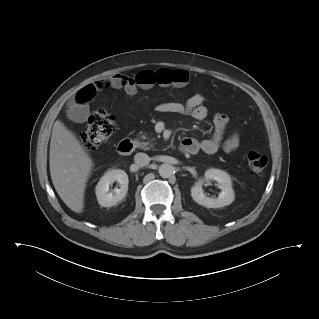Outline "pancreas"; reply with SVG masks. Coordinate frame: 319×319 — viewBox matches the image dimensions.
Here are the masks:
<instances>
[{"instance_id": "cf45deb5", "label": "pancreas", "mask_w": 319, "mask_h": 319, "mask_svg": "<svg viewBox=\"0 0 319 319\" xmlns=\"http://www.w3.org/2000/svg\"><path fill=\"white\" fill-rule=\"evenodd\" d=\"M141 139H146V135H142ZM136 146L142 150H150L152 148H154V143L151 141H136Z\"/></svg>"}]
</instances>
